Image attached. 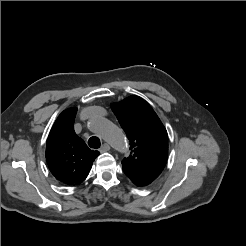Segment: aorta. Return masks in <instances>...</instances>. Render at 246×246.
Returning <instances> with one entry per match:
<instances>
[{"label":"aorta","instance_id":"1","mask_svg":"<svg viewBox=\"0 0 246 246\" xmlns=\"http://www.w3.org/2000/svg\"><path fill=\"white\" fill-rule=\"evenodd\" d=\"M89 128L117 150L125 151V136L122 130L109 120L98 116L93 117L89 121Z\"/></svg>","mask_w":246,"mask_h":246}]
</instances>
